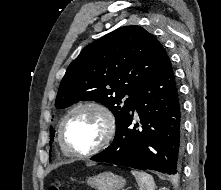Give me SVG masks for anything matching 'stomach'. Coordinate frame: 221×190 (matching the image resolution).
I'll return each mask as SVG.
<instances>
[{"label": "stomach", "mask_w": 221, "mask_h": 190, "mask_svg": "<svg viewBox=\"0 0 221 190\" xmlns=\"http://www.w3.org/2000/svg\"><path fill=\"white\" fill-rule=\"evenodd\" d=\"M86 181L88 185L97 190H121L126 184L123 177L112 172H103L96 176L88 177Z\"/></svg>", "instance_id": "1"}]
</instances>
